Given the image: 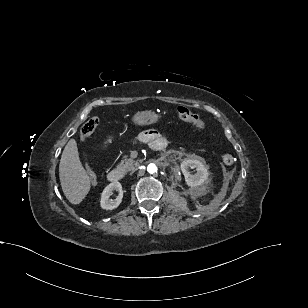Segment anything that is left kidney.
<instances>
[{
	"instance_id": "obj_1",
	"label": "left kidney",
	"mask_w": 308,
	"mask_h": 308,
	"mask_svg": "<svg viewBox=\"0 0 308 308\" xmlns=\"http://www.w3.org/2000/svg\"><path fill=\"white\" fill-rule=\"evenodd\" d=\"M188 168H196L197 173L191 175ZM181 171L185 176V181L189 187L201 186L208 178V172L204 164L198 159H186L181 163Z\"/></svg>"
}]
</instances>
